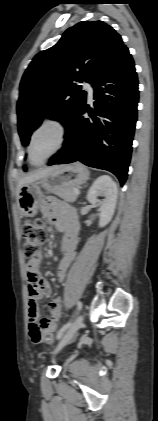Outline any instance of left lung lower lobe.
<instances>
[{"instance_id": "left-lung-lower-lobe-1", "label": "left lung lower lobe", "mask_w": 158, "mask_h": 421, "mask_svg": "<svg viewBox=\"0 0 158 421\" xmlns=\"http://www.w3.org/2000/svg\"><path fill=\"white\" fill-rule=\"evenodd\" d=\"M94 112L84 118L85 104L69 125L64 146L48 165L80 161L127 179L137 121L138 79L128 48L123 45L92 83Z\"/></svg>"}]
</instances>
